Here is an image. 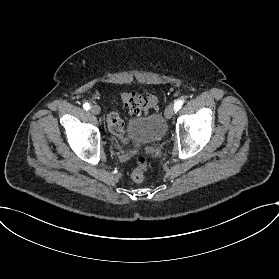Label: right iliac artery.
<instances>
[{"label":"right iliac artery","mask_w":279,"mask_h":279,"mask_svg":"<svg viewBox=\"0 0 279 279\" xmlns=\"http://www.w3.org/2000/svg\"><path fill=\"white\" fill-rule=\"evenodd\" d=\"M83 108H84L85 110H89V109H90V104H89V103H85V104L83 105Z\"/></svg>","instance_id":"1"}]
</instances>
